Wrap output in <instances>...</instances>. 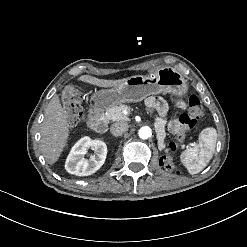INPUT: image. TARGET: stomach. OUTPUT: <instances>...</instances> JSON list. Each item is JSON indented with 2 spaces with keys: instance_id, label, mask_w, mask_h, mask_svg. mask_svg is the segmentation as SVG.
<instances>
[{
  "instance_id": "1",
  "label": "stomach",
  "mask_w": 247,
  "mask_h": 247,
  "mask_svg": "<svg viewBox=\"0 0 247 247\" xmlns=\"http://www.w3.org/2000/svg\"><path fill=\"white\" fill-rule=\"evenodd\" d=\"M187 89L185 77L177 70L164 67L152 76H132L112 89L100 90L92 96L94 108L104 111L121 103L139 102L162 92L182 95Z\"/></svg>"
}]
</instances>
